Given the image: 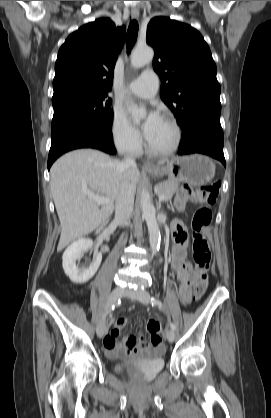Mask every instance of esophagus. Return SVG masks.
<instances>
[{"label":"esophagus","mask_w":271,"mask_h":418,"mask_svg":"<svg viewBox=\"0 0 271 418\" xmlns=\"http://www.w3.org/2000/svg\"><path fill=\"white\" fill-rule=\"evenodd\" d=\"M131 17H132L133 19H138V18H139V11H138V9L133 8V9L131 10ZM144 165H145V166H147V167H150V166H152V163H151V162H149V161H145V162H144Z\"/></svg>","instance_id":"esophagus-1"}]
</instances>
